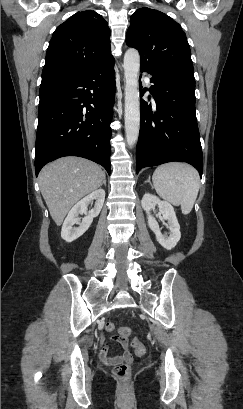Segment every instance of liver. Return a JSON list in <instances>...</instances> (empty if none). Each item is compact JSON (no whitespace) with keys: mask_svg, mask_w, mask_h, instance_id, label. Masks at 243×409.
<instances>
[{"mask_svg":"<svg viewBox=\"0 0 243 409\" xmlns=\"http://www.w3.org/2000/svg\"><path fill=\"white\" fill-rule=\"evenodd\" d=\"M105 177L101 167L80 157H63L47 164L39 174L42 196L56 225L84 196L98 189Z\"/></svg>","mask_w":243,"mask_h":409,"instance_id":"liver-1","label":"liver"}]
</instances>
